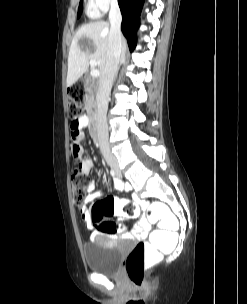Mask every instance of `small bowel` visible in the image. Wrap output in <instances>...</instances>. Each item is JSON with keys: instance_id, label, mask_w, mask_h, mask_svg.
Instances as JSON below:
<instances>
[{"instance_id": "c3829d8e", "label": "small bowel", "mask_w": 247, "mask_h": 304, "mask_svg": "<svg viewBox=\"0 0 247 304\" xmlns=\"http://www.w3.org/2000/svg\"><path fill=\"white\" fill-rule=\"evenodd\" d=\"M89 119L87 116H81L79 117L77 122L71 123V135H70V151L71 152V161L73 162V167H78L80 171L87 175L91 169L94 166V162L90 157H84V144H80V141H82L83 138V129L86 128L89 124ZM96 185L94 181H90L87 187L88 194L85 197L84 204L82 207H80V213L82 215V218L86 222V225L89 229H95L96 223L93 221L91 217V213L89 212L87 208V204L93 202L95 199H97L102 193L95 190ZM115 188L117 190H123L124 185L121 182L115 183ZM150 226L147 225V220L142 218L140 219L134 230L131 232H127L124 234V238H144L147 236L149 232ZM109 236L112 238H115V234H106L99 231H94L91 239H96L100 236Z\"/></svg>"}]
</instances>
